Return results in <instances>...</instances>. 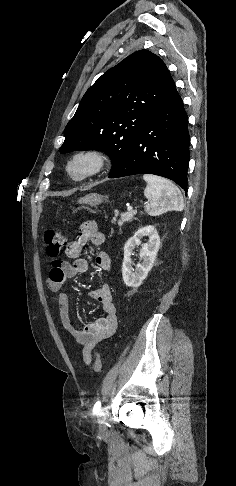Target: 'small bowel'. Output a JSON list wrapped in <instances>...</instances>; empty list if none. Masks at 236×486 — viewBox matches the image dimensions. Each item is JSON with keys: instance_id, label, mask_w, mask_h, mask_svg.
I'll list each match as a JSON object with an SVG mask.
<instances>
[{"instance_id": "obj_1", "label": "small bowel", "mask_w": 236, "mask_h": 486, "mask_svg": "<svg viewBox=\"0 0 236 486\" xmlns=\"http://www.w3.org/2000/svg\"><path fill=\"white\" fill-rule=\"evenodd\" d=\"M105 240V235L99 232L96 222L81 223L75 240L70 242L65 249L67 257L74 261L70 263L64 260H54L47 280L49 290L58 292L56 305L61 324L72 338L82 345L83 360L87 365L91 363V353L94 347L103 339L113 335L117 328L116 306L110 287L108 284H104L90 292V297L101 304L105 315L82 327L72 324L69 296L60 291L68 278L83 274L88 270L87 261L80 258L85 244L90 242L92 245L100 246L105 243ZM95 263L101 270L106 271L111 266V259L106 252L101 251L96 254Z\"/></svg>"}]
</instances>
